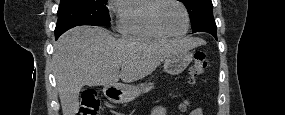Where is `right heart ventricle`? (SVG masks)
I'll list each match as a JSON object with an SVG mask.
<instances>
[{"label": "right heart ventricle", "instance_id": "right-heart-ventricle-1", "mask_svg": "<svg viewBox=\"0 0 285 115\" xmlns=\"http://www.w3.org/2000/svg\"><path fill=\"white\" fill-rule=\"evenodd\" d=\"M157 0L122 1L117 6L118 30L124 36L148 39H166L151 21Z\"/></svg>", "mask_w": 285, "mask_h": 115}]
</instances>
